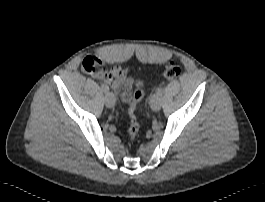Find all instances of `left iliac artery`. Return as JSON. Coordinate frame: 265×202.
Masks as SVG:
<instances>
[{"label":"left iliac artery","mask_w":265,"mask_h":202,"mask_svg":"<svg viewBox=\"0 0 265 202\" xmlns=\"http://www.w3.org/2000/svg\"><path fill=\"white\" fill-rule=\"evenodd\" d=\"M163 92H164V89H163L162 87L158 88V89L156 90V93H155V94H152V96H151V100H152V98H153L155 95H157V96H159V97H162ZM151 100H150V102H151Z\"/></svg>","instance_id":"obj_1"}]
</instances>
